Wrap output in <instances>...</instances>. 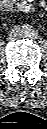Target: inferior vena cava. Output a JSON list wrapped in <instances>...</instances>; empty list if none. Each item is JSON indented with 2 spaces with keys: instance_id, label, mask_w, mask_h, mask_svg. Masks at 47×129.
<instances>
[{
  "instance_id": "602c4592",
  "label": "inferior vena cava",
  "mask_w": 47,
  "mask_h": 129,
  "mask_svg": "<svg viewBox=\"0 0 47 129\" xmlns=\"http://www.w3.org/2000/svg\"><path fill=\"white\" fill-rule=\"evenodd\" d=\"M10 37H11V38H18L19 36L17 35V33H16L15 31H12V32L10 33Z\"/></svg>"
}]
</instances>
